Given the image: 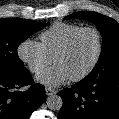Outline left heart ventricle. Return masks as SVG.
I'll use <instances>...</instances> for the list:
<instances>
[{
    "instance_id": "b2bd125f",
    "label": "left heart ventricle",
    "mask_w": 119,
    "mask_h": 119,
    "mask_svg": "<svg viewBox=\"0 0 119 119\" xmlns=\"http://www.w3.org/2000/svg\"><path fill=\"white\" fill-rule=\"evenodd\" d=\"M97 38L92 32L81 34L68 53L56 59L55 65L61 66L70 76L84 72L92 63L97 52Z\"/></svg>"
}]
</instances>
